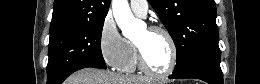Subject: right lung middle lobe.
I'll list each match as a JSON object with an SVG mask.
<instances>
[{"label": "right lung middle lobe", "instance_id": "obj_1", "mask_svg": "<svg viewBox=\"0 0 260 84\" xmlns=\"http://www.w3.org/2000/svg\"><path fill=\"white\" fill-rule=\"evenodd\" d=\"M103 24L104 19L87 20L50 32L48 84H61L85 67L106 69L100 46Z\"/></svg>", "mask_w": 260, "mask_h": 84}]
</instances>
